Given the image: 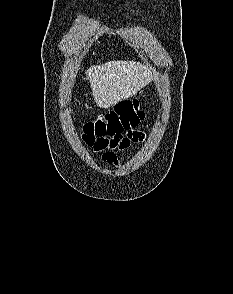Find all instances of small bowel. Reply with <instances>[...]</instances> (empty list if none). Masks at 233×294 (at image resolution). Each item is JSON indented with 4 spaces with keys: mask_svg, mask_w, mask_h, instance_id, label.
<instances>
[{
    "mask_svg": "<svg viewBox=\"0 0 233 294\" xmlns=\"http://www.w3.org/2000/svg\"><path fill=\"white\" fill-rule=\"evenodd\" d=\"M128 136L134 138V140L141 139V137H142L141 134L138 132H129ZM126 144H127V142H126ZM126 144H124L123 147L126 146ZM104 159L106 161H108L109 163H116V157L113 153H106L104 155Z\"/></svg>",
    "mask_w": 233,
    "mask_h": 294,
    "instance_id": "small-bowel-1",
    "label": "small bowel"
}]
</instances>
